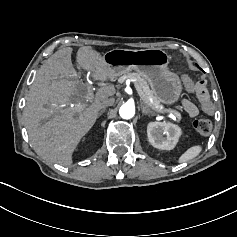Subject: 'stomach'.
Returning a JSON list of instances; mask_svg holds the SVG:
<instances>
[{
    "mask_svg": "<svg viewBox=\"0 0 237 237\" xmlns=\"http://www.w3.org/2000/svg\"><path fill=\"white\" fill-rule=\"evenodd\" d=\"M103 61L116 78L131 70L145 78L154 95L165 104L179 99L182 85L179 76L168 70L169 56L161 48L141 50L112 49L103 55Z\"/></svg>",
    "mask_w": 237,
    "mask_h": 237,
    "instance_id": "1",
    "label": "stomach"
}]
</instances>
